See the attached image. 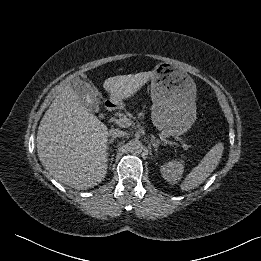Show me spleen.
I'll use <instances>...</instances> for the list:
<instances>
[{"label": "spleen", "instance_id": "obj_1", "mask_svg": "<svg viewBox=\"0 0 261 261\" xmlns=\"http://www.w3.org/2000/svg\"><path fill=\"white\" fill-rule=\"evenodd\" d=\"M224 144L218 143L204 156L200 163L192 169L180 185L182 191H190L205 182L216 169L222 158Z\"/></svg>", "mask_w": 261, "mask_h": 261}]
</instances>
